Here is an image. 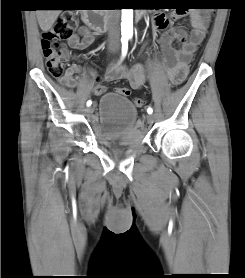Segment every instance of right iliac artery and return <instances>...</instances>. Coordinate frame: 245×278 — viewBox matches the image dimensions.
Listing matches in <instances>:
<instances>
[{
	"mask_svg": "<svg viewBox=\"0 0 245 278\" xmlns=\"http://www.w3.org/2000/svg\"><path fill=\"white\" fill-rule=\"evenodd\" d=\"M122 57H124L128 50V38H122ZM92 104L91 100L87 101V106H90Z\"/></svg>",
	"mask_w": 245,
	"mask_h": 278,
	"instance_id": "obj_1",
	"label": "right iliac artery"
}]
</instances>
